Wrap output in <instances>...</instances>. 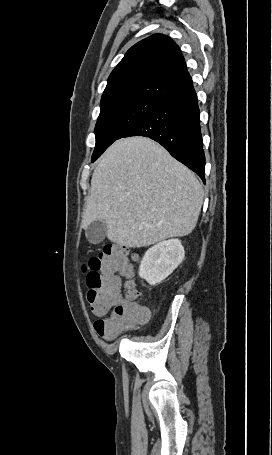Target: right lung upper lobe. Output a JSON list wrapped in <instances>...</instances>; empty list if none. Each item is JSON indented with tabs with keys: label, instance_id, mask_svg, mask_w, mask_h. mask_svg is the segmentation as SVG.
Masks as SVG:
<instances>
[{
	"label": "right lung upper lobe",
	"instance_id": "cb5924a9",
	"mask_svg": "<svg viewBox=\"0 0 272 455\" xmlns=\"http://www.w3.org/2000/svg\"><path fill=\"white\" fill-rule=\"evenodd\" d=\"M193 86L178 45L152 35L132 46L111 72L101 105L132 97L166 101Z\"/></svg>",
	"mask_w": 272,
	"mask_h": 455
}]
</instances>
